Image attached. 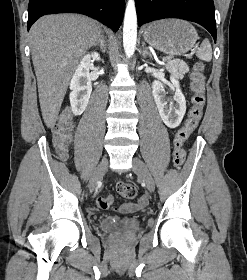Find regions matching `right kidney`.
<instances>
[{
  "label": "right kidney",
  "instance_id": "1",
  "mask_svg": "<svg viewBox=\"0 0 247 280\" xmlns=\"http://www.w3.org/2000/svg\"><path fill=\"white\" fill-rule=\"evenodd\" d=\"M100 60L98 53L85 55L78 65L70 82V104L74 115H81L89 102L92 82L89 69L93 60Z\"/></svg>",
  "mask_w": 247,
  "mask_h": 280
}]
</instances>
